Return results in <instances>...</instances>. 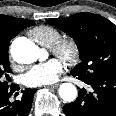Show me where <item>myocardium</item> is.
<instances>
[{
  "label": "myocardium",
  "mask_w": 116,
  "mask_h": 116,
  "mask_svg": "<svg viewBox=\"0 0 116 116\" xmlns=\"http://www.w3.org/2000/svg\"><path fill=\"white\" fill-rule=\"evenodd\" d=\"M51 50L68 63H75L80 56V49L77 42L70 38L60 39Z\"/></svg>",
  "instance_id": "f54148a6"
}]
</instances>
